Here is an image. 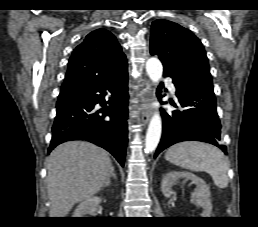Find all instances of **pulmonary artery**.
Returning <instances> with one entry per match:
<instances>
[{
	"instance_id": "e3ab8cb5",
	"label": "pulmonary artery",
	"mask_w": 258,
	"mask_h": 227,
	"mask_svg": "<svg viewBox=\"0 0 258 227\" xmlns=\"http://www.w3.org/2000/svg\"><path fill=\"white\" fill-rule=\"evenodd\" d=\"M168 82V80H166ZM169 89L171 91L172 94H175V87L172 83H169Z\"/></svg>"
}]
</instances>
